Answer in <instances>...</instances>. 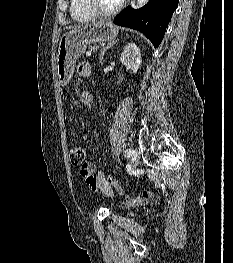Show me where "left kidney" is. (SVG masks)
Listing matches in <instances>:
<instances>
[{
	"mask_svg": "<svg viewBox=\"0 0 233 263\" xmlns=\"http://www.w3.org/2000/svg\"><path fill=\"white\" fill-rule=\"evenodd\" d=\"M120 61L127 69L137 73L142 62L140 49L137 45L134 43L128 44L121 54Z\"/></svg>",
	"mask_w": 233,
	"mask_h": 263,
	"instance_id": "obj_1",
	"label": "left kidney"
}]
</instances>
